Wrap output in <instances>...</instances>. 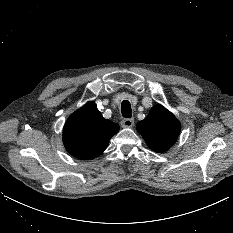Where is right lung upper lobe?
Returning a JSON list of instances; mask_svg holds the SVG:
<instances>
[{"instance_id": "obj_1", "label": "right lung upper lobe", "mask_w": 233, "mask_h": 233, "mask_svg": "<svg viewBox=\"0 0 233 233\" xmlns=\"http://www.w3.org/2000/svg\"><path fill=\"white\" fill-rule=\"evenodd\" d=\"M119 125L103 118L93 102L74 112L65 123L63 142L76 158L89 160L99 156L108 146Z\"/></svg>"}]
</instances>
